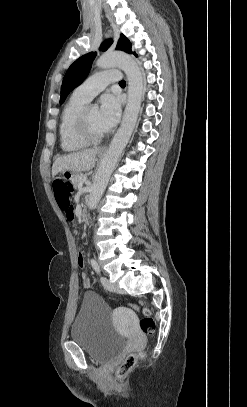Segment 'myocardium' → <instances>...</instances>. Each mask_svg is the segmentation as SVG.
I'll return each instance as SVG.
<instances>
[{
    "label": "myocardium",
    "mask_w": 247,
    "mask_h": 407,
    "mask_svg": "<svg viewBox=\"0 0 247 407\" xmlns=\"http://www.w3.org/2000/svg\"><path fill=\"white\" fill-rule=\"evenodd\" d=\"M89 107H84L78 117H77V122H76V127L79 135L89 143H94L98 142L102 139H104L108 134L109 130L103 132V133H94L87 120V110Z\"/></svg>",
    "instance_id": "myocardium-1"
}]
</instances>
